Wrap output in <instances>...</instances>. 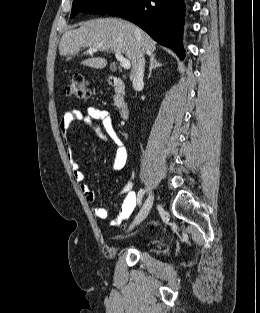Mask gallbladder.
<instances>
[{"label":"gallbladder","instance_id":"1","mask_svg":"<svg viewBox=\"0 0 260 313\" xmlns=\"http://www.w3.org/2000/svg\"><path fill=\"white\" fill-rule=\"evenodd\" d=\"M111 70L114 71V70H115V66H112V67H111Z\"/></svg>","mask_w":260,"mask_h":313}]
</instances>
